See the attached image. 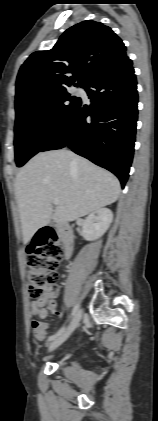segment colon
I'll use <instances>...</instances> for the list:
<instances>
[{
	"instance_id": "obj_1",
	"label": "colon",
	"mask_w": 158,
	"mask_h": 421,
	"mask_svg": "<svg viewBox=\"0 0 158 421\" xmlns=\"http://www.w3.org/2000/svg\"><path fill=\"white\" fill-rule=\"evenodd\" d=\"M63 248L52 233L41 230L27 251L29 296L34 302H50L57 289L59 261Z\"/></svg>"
}]
</instances>
